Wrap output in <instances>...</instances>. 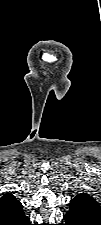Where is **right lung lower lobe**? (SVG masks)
Returning <instances> with one entry per match:
<instances>
[{"label":"right lung lower lobe","mask_w":101,"mask_h":225,"mask_svg":"<svg viewBox=\"0 0 101 225\" xmlns=\"http://www.w3.org/2000/svg\"><path fill=\"white\" fill-rule=\"evenodd\" d=\"M21 225H31V224L29 223V218L27 217V218L25 219V221H24Z\"/></svg>","instance_id":"obj_1"}]
</instances>
